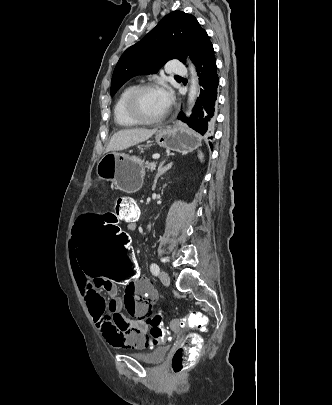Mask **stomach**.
<instances>
[{
  "instance_id": "stomach-1",
  "label": "stomach",
  "mask_w": 332,
  "mask_h": 405,
  "mask_svg": "<svg viewBox=\"0 0 332 405\" xmlns=\"http://www.w3.org/2000/svg\"><path fill=\"white\" fill-rule=\"evenodd\" d=\"M155 140L160 147L184 154L201 145V137L198 134L179 124L161 128L157 131ZM97 175L103 180L112 182L115 188L133 193L142 185L144 165L138 157L112 152L99 161Z\"/></svg>"
}]
</instances>
